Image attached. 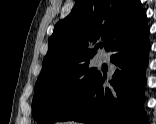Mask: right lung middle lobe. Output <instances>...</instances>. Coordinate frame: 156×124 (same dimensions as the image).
Returning a JSON list of instances; mask_svg holds the SVG:
<instances>
[{"label":"right lung middle lobe","mask_w":156,"mask_h":124,"mask_svg":"<svg viewBox=\"0 0 156 124\" xmlns=\"http://www.w3.org/2000/svg\"><path fill=\"white\" fill-rule=\"evenodd\" d=\"M99 72L89 61L76 64L37 79L32 101V116L38 123L59 121L84 95Z\"/></svg>","instance_id":"obj_1"}]
</instances>
